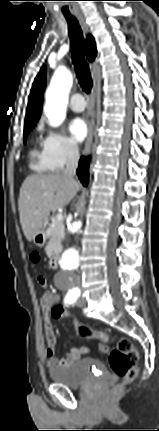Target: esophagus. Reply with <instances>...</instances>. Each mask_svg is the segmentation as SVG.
Returning a JSON list of instances; mask_svg holds the SVG:
<instances>
[{"mask_svg":"<svg viewBox=\"0 0 159 431\" xmlns=\"http://www.w3.org/2000/svg\"><path fill=\"white\" fill-rule=\"evenodd\" d=\"M80 23L82 25L83 30L85 32H87L88 28H87L86 24L84 23L83 19H80ZM92 78H93V88H92V93H91V97H90V105H89L90 119L88 121V134H87V138L85 141V147H84V155L85 156L89 155L90 150H91L92 141H93V128H94L93 106H94L95 97H96V75H95L94 70L92 71Z\"/></svg>","mask_w":159,"mask_h":431,"instance_id":"34e87169","label":"esophagus"}]
</instances>
